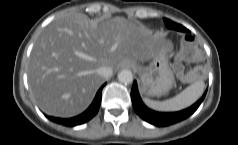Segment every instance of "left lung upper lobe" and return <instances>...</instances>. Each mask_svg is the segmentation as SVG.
<instances>
[{"instance_id":"left-lung-upper-lobe-1","label":"left lung upper lobe","mask_w":238,"mask_h":145,"mask_svg":"<svg viewBox=\"0 0 238 145\" xmlns=\"http://www.w3.org/2000/svg\"><path fill=\"white\" fill-rule=\"evenodd\" d=\"M164 22L168 28L175 29V30L177 29V27H176L178 25L177 23H174L169 19H164Z\"/></svg>"}]
</instances>
